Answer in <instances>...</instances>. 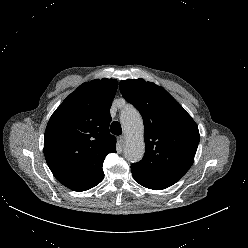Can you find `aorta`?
<instances>
[{
	"label": "aorta",
	"mask_w": 248,
	"mask_h": 248,
	"mask_svg": "<svg viewBox=\"0 0 248 248\" xmlns=\"http://www.w3.org/2000/svg\"><path fill=\"white\" fill-rule=\"evenodd\" d=\"M120 120L126 134L124 155L129 161L138 162L145 152L142 117L134 108H127L122 111Z\"/></svg>",
	"instance_id": "1"
}]
</instances>
